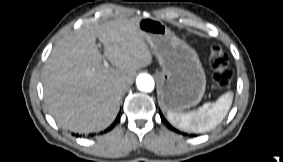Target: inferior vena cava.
<instances>
[{
  "mask_svg": "<svg viewBox=\"0 0 283 162\" xmlns=\"http://www.w3.org/2000/svg\"><path fill=\"white\" fill-rule=\"evenodd\" d=\"M120 83L122 84L123 87H126V84L124 81L121 80Z\"/></svg>",
  "mask_w": 283,
  "mask_h": 162,
  "instance_id": "obj_1",
  "label": "inferior vena cava"
}]
</instances>
